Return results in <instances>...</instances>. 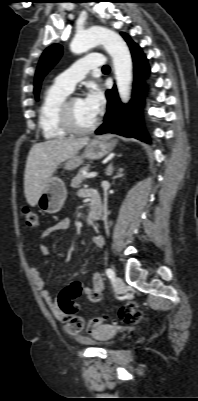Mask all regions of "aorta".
I'll return each instance as SVG.
<instances>
[{
	"label": "aorta",
	"mask_w": 198,
	"mask_h": 401,
	"mask_svg": "<svg viewBox=\"0 0 198 401\" xmlns=\"http://www.w3.org/2000/svg\"><path fill=\"white\" fill-rule=\"evenodd\" d=\"M102 44L113 59L116 84L122 102L129 99L132 83V59L122 37L105 27L94 26L77 34L70 43V50L81 54Z\"/></svg>",
	"instance_id": "1"
}]
</instances>
